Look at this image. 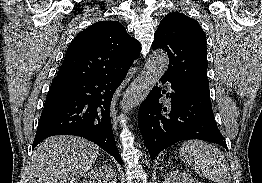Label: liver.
Masks as SVG:
<instances>
[{"label": "liver", "mask_w": 262, "mask_h": 183, "mask_svg": "<svg viewBox=\"0 0 262 183\" xmlns=\"http://www.w3.org/2000/svg\"><path fill=\"white\" fill-rule=\"evenodd\" d=\"M99 154L98 146L84 138L52 136L34 150L28 183H77Z\"/></svg>", "instance_id": "liver-1"}]
</instances>
